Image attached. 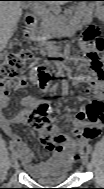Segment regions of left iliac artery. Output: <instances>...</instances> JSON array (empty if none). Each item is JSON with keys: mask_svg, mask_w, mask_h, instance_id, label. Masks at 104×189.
I'll return each mask as SVG.
<instances>
[{"mask_svg": "<svg viewBox=\"0 0 104 189\" xmlns=\"http://www.w3.org/2000/svg\"><path fill=\"white\" fill-rule=\"evenodd\" d=\"M92 152V147L90 145L87 146V153H91Z\"/></svg>", "mask_w": 104, "mask_h": 189, "instance_id": "1", "label": "left iliac artery"}]
</instances>
